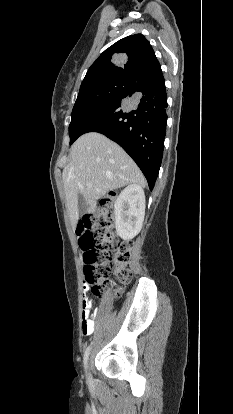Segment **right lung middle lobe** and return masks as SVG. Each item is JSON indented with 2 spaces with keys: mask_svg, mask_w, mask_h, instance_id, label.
<instances>
[{
  "mask_svg": "<svg viewBox=\"0 0 233 414\" xmlns=\"http://www.w3.org/2000/svg\"><path fill=\"white\" fill-rule=\"evenodd\" d=\"M132 84L130 80L106 77L80 87L69 125L70 144L79 137L80 126L92 113L122 96Z\"/></svg>",
  "mask_w": 233,
  "mask_h": 414,
  "instance_id": "obj_1",
  "label": "right lung middle lobe"
}]
</instances>
